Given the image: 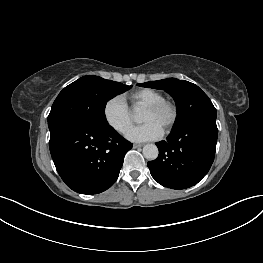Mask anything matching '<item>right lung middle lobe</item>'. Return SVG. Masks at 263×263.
<instances>
[{"instance_id":"dd1d6c3e","label":"right lung middle lobe","mask_w":263,"mask_h":263,"mask_svg":"<svg viewBox=\"0 0 263 263\" xmlns=\"http://www.w3.org/2000/svg\"><path fill=\"white\" fill-rule=\"evenodd\" d=\"M131 87L98 76L81 77L59 93L48 116V126L62 120L108 125L105 117L107 101Z\"/></svg>"}]
</instances>
